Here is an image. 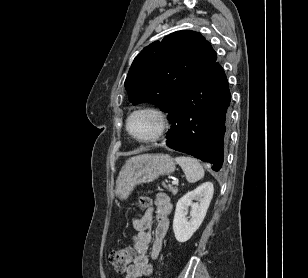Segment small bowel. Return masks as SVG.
Returning <instances> with one entry per match:
<instances>
[{"mask_svg":"<svg viewBox=\"0 0 308 278\" xmlns=\"http://www.w3.org/2000/svg\"><path fill=\"white\" fill-rule=\"evenodd\" d=\"M172 205L164 193L155 196L154 206L149 207L143 216L134 218L132 223L137 234L132 238L136 251L133 263L126 270L125 278H141L152 273V264L147 254L151 246V258L156 259L161 253L162 243L169 228ZM156 224L153 231V225Z\"/></svg>","mask_w":308,"mask_h":278,"instance_id":"c3829d8e","label":"small bowel"}]
</instances>
